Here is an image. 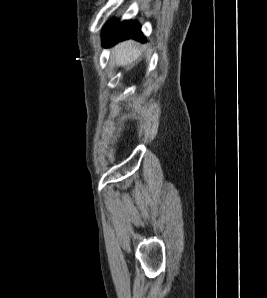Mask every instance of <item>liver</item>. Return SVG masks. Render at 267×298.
I'll list each match as a JSON object with an SVG mask.
<instances>
[{
  "instance_id": "liver-1",
  "label": "liver",
  "mask_w": 267,
  "mask_h": 298,
  "mask_svg": "<svg viewBox=\"0 0 267 298\" xmlns=\"http://www.w3.org/2000/svg\"><path fill=\"white\" fill-rule=\"evenodd\" d=\"M142 49L138 48L133 40H128L116 45L111 56L118 66H127L141 55Z\"/></svg>"
}]
</instances>
